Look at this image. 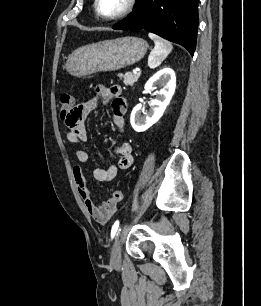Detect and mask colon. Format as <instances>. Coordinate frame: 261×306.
I'll return each instance as SVG.
<instances>
[{
  "mask_svg": "<svg viewBox=\"0 0 261 306\" xmlns=\"http://www.w3.org/2000/svg\"><path fill=\"white\" fill-rule=\"evenodd\" d=\"M74 98L70 94H62L59 98V105L61 109V117L66 118L74 109ZM112 199L120 202L123 199V193L120 190H115L112 194Z\"/></svg>",
  "mask_w": 261,
  "mask_h": 306,
  "instance_id": "colon-1",
  "label": "colon"
}]
</instances>
